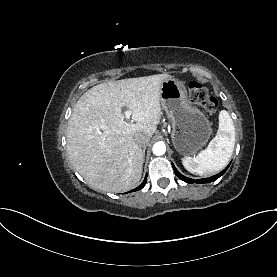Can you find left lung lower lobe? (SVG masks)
<instances>
[{
	"mask_svg": "<svg viewBox=\"0 0 277 277\" xmlns=\"http://www.w3.org/2000/svg\"><path fill=\"white\" fill-rule=\"evenodd\" d=\"M173 165V164H172ZM229 165L222 171L220 172L219 174L217 175H214L212 177H209V178H205V179H197V180H194V179H191V178H188V177H185L183 176L182 174H180L178 172V170L175 168V166L173 165V169H174V172L175 174L183 181L187 182V183H209V182H213L215 181L216 179H218L220 176H222L225 171L228 169Z\"/></svg>",
	"mask_w": 277,
	"mask_h": 277,
	"instance_id": "1",
	"label": "left lung lower lobe"
}]
</instances>
